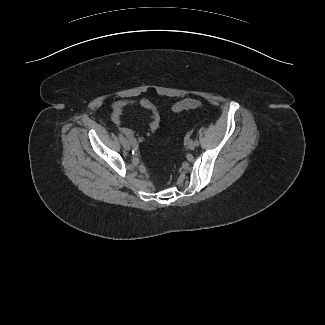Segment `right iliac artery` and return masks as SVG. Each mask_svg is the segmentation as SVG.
<instances>
[{"label":"right iliac artery","instance_id":"1","mask_svg":"<svg viewBox=\"0 0 325 325\" xmlns=\"http://www.w3.org/2000/svg\"><path fill=\"white\" fill-rule=\"evenodd\" d=\"M118 137H119L121 142L124 140V137H123V135L121 133L118 134Z\"/></svg>","mask_w":325,"mask_h":325}]
</instances>
